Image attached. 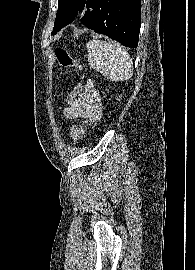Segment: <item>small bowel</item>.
I'll use <instances>...</instances> for the list:
<instances>
[{
    "mask_svg": "<svg viewBox=\"0 0 195 270\" xmlns=\"http://www.w3.org/2000/svg\"><path fill=\"white\" fill-rule=\"evenodd\" d=\"M63 113L68 119L84 118L90 123L100 119L102 114L101 96L91 81L81 87V93L77 100L66 107ZM71 136L74 138L72 131Z\"/></svg>",
    "mask_w": 195,
    "mask_h": 270,
    "instance_id": "c3829d8e",
    "label": "small bowel"
}]
</instances>
